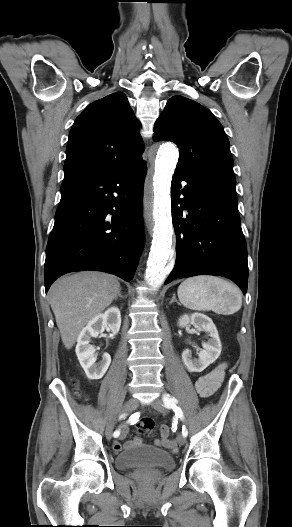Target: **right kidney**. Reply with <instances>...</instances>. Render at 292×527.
Segmentation results:
<instances>
[{
    "instance_id": "1",
    "label": "right kidney",
    "mask_w": 292,
    "mask_h": 527,
    "mask_svg": "<svg viewBox=\"0 0 292 527\" xmlns=\"http://www.w3.org/2000/svg\"><path fill=\"white\" fill-rule=\"evenodd\" d=\"M120 326V310L117 307H111L91 319L80 332L75 351L89 379L97 380L102 378L111 363V357L108 353H104L102 360L96 363L95 348L89 344L90 338L97 337L105 328H108L115 335L119 332Z\"/></svg>"
}]
</instances>
